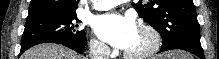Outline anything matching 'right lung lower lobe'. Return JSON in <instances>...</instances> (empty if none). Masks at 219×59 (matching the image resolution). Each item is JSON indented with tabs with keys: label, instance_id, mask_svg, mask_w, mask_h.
<instances>
[{
	"label": "right lung lower lobe",
	"instance_id": "98d812e1",
	"mask_svg": "<svg viewBox=\"0 0 219 59\" xmlns=\"http://www.w3.org/2000/svg\"><path fill=\"white\" fill-rule=\"evenodd\" d=\"M52 43L62 44L66 47H69V48L79 52V53H83L84 49H85V46H86V44H80V43L73 42V41H68V40H60V41H55V42H52ZM24 51L25 50H21L19 55H21Z\"/></svg>",
	"mask_w": 219,
	"mask_h": 59
}]
</instances>
